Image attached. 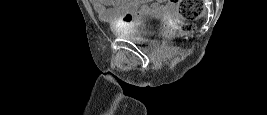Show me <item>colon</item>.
I'll use <instances>...</instances> for the list:
<instances>
[{"instance_id":"1","label":"colon","mask_w":267,"mask_h":115,"mask_svg":"<svg viewBox=\"0 0 267 115\" xmlns=\"http://www.w3.org/2000/svg\"><path fill=\"white\" fill-rule=\"evenodd\" d=\"M178 3L179 13L186 22L168 28L164 33L165 39H173L177 36L190 34L194 30L193 21H195L203 12V4L200 0H171ZM132 13L126 11L124 14L125 20H130Z\"/></svg>"}]
</instances>
